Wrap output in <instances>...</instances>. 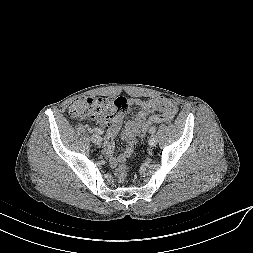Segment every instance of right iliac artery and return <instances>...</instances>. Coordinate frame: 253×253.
Segmentation results:
<instances>
[{
    "label": "right iliac artery",
    "instance_id": "obj_1",
    "mask_svg": "<svg viewBox=\"0 0 253 253\" xmlns=\"http://www.w3.org/2000/svg\"><path fill=\"white\" fill-rule=\"evenodd\" d=\"M93 131L98 133V134H103L104 133V131L100 128H94Z\"/></svg>",
    "mask_w": 253,
    "mask_h": 253
}]
</instances>
